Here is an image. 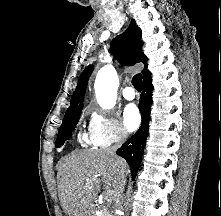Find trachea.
I'll list each match as a JSON object with an SVG mask.
<instances>
[{"instance_id":"3493384b","label":"trachea","mask_w":221,"mask_h":216,"mask_svg":"<svg viewBox=\"0 0 221 216\" xmlns=\"http://www.w3.org/2000/svg\"><path fill=\"white\" fill-rule=\"evenodd\" d=\"M132 84L135 87V89L137 91H141V87H142V75L141 74H137L133 77L132 79Z\"/></svg>"}]
</instances>
